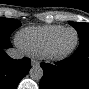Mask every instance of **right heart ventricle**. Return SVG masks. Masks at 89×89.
Listing matches in <instances>:
<instances>
[{
  "label": "right heart ventricle",
  "instance_id": "e07e8e85",
  "mask_svg": "<svg viewBox=\"0 0 89 89\" xmlns=\"http://www.w3.org/2000/svg\"><path fill=\"white\" fill-rule=\"evenodd\" d=\"M62 28L61 25L28 26L17 34V43L28 54L42 57L48 40Z\"/></svg>",
  "mask_w": 89,
  "mask_h": 89
}]
</instances>
